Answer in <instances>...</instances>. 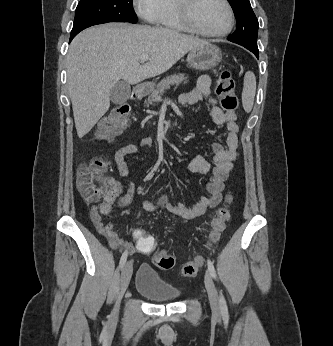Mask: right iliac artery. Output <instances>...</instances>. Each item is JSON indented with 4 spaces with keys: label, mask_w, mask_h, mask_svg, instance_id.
<instances>
[{
    "label": "right iliac artery",
    "mask_w": 333,
    "mask_h": 346,
    "mask_svg": "<svg viewBox=\"0 0 333 346\" xmlns=\"http://www.w3.org/2000/svg\"><path fill=\"white\" fill-rule=\"evenodd\" d=\"M127 257H128V253H127V251H125V252L122 254L121 258H120V262H119V267H120V268H122V267L124 266V264H125V262H126V260H127Z\"/></svg>",
    "instance_id": "82829eb1"
}]
</instances>
